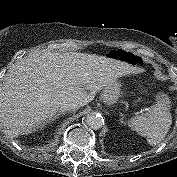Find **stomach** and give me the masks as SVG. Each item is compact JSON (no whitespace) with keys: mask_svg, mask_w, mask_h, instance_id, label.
Masks as SVG:
<instances>
[{"mask_svg":"<svg viewBox=\"0 0 177 177\" xmlns=\"http://www.w3.org/2000/svg\"><path fill=\"white\" fill-rule=\"evenodd\" d=\"M109 56L127 62L133 67H138L144 62V58L141 55L124 49L112 50L109 52ZM120 96L121 84L115 81L103 89L101 100L106 105H113L117 103Z\"/></svg>","mask_w":177,"mask_h":177,"instance_id":"obj_1","label":"stomach"}]
</instances>
